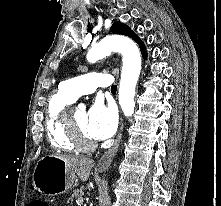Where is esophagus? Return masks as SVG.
<instances>
[{
  "instance_id": "34e87169",
  "label": "esophagus",
  "mask_w": 221,
  "mask_h": 206,
  "mask_svg": "<svg viewBox=\"0 0 221 206\" xmlns=\"http://www.w3.org/2000/svg\"><path fill=\"white\" fill-rule=\"evenodd\" d=\"M122 133H123V119L121 118V121H120V128H119V133H118V136L116 138V141L115 143L113 144V146L107 150L103 156L100 158L99 162H98V165H97V168L99 170H105L109 167V165L111 164V162L113 161L117 151H118V148H119V145H120V141H121V138H122Z\"/></svg>"
}]
</instances>
